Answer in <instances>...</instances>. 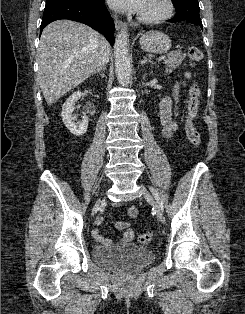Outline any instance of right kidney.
Returning <instances> with one entry per match:
<instances>
[{"mask_svg": "<svg viewBox=\"0 0 245 314\" xmlns=\"http://www.w3.org/2000/svg\"><path fill=\"white\" fill-rule=\"evenodd\" d=\"M81 92H74L63 104L62 107V121L67 129L75 136H82L86 133L88 128L89 119L87 116H84L82 121L75 123V116L73 112L75 110V102L81 98Z\"/></svg>", "mask_w": 245, "mask_h": 314, "instance_id": "obj_1", "label": "right kidney"}]
</instances>
